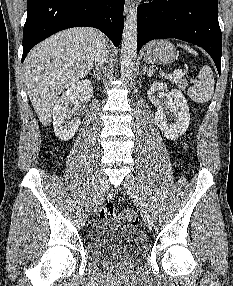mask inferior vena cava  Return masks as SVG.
Returning a JSON list of instances; mask_svg holds the SVG:
<instances>
[{
  "label": "inferior vena cava",
  "mask_w": 233,
  "mask_h": 286,
  "mask_svg": "<svg viewBox=\"0 0 233 286\" xmlns=\"http://www.w3.org/2000/svg\"><path fill=\"white\" fill-rule=\"evenodd\" d=\"M108 47L106 45V39L104 38L102 42L98 45L97 52L95 55V67L98 70L99 67H102L104 63L108 60Z\"/></svg>",
  "instance_id": "1"
}]
</instances>
